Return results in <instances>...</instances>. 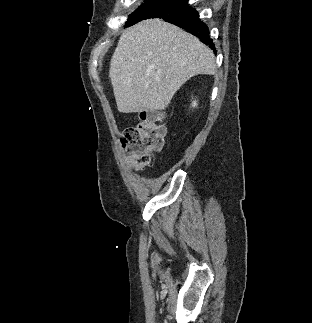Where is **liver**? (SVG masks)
<instances>
[{"instance_id":"liver-1","label":"liver","mask_w":312,"mask_h":323,"mask_svg":"<svg viewBox=\"0 0 312 323\" xmlns=\"http://www.w3.org/2000/svg\"><path fill=\"white\" fill-rule=\"evenodd\" d=\"M215 56L198 38L159 18L123 30L110 62L117 110L168 108L174 94L197 74H215Z\"/></svg>"}]
</instances>
